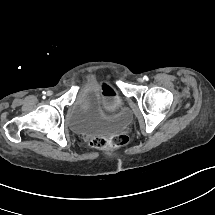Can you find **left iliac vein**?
Listing matches in <instances>:
<instances>
[{"instance_id": "1", "label": "left iliac vein", "mask_w": 215, "mask_h": 215, "mask_svg": "<svg viewBox=\"0 0 215 215\" xmlns=\"http://www.w3.org/2000/svg\"><path fill=\"white\" fill-rule=\"evenodd\" d=\"M138 82L142 83L143 82V78L142 77L138 78Z\"/></svg>"}]
</instances>
